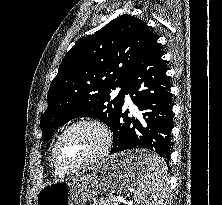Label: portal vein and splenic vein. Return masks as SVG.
Instances as JSON below:
<instances>
[{"label":"portal vein and splenic vein","instance_id":"18ae733b","mask_svg":"<svg viewBox=\"0 0 222 205\" xmlns=\"http://www.w3.org/2000/svg\"><path fill=\"white\" fill-rule=\"evenodd\" d=\"M131 192H133V190H131ZM117 199H118L120 202H124V201H125V200H124L122 197H120V196H119Z\"/></svg>","mask_w":222,"mask_h":205}]
</instances>
